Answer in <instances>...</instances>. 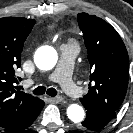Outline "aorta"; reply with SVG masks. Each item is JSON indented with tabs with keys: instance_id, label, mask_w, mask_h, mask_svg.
Instances as JSON below:
<instances>
[{
	"instance_id": "aorta-1",
	"label": "aorta",
	"mask_w": 133,
	"mask_h": 133,
	"mask_svg": "<svg viewBox=\"0 0 133 133\" xmlns=\"http://www.w3.org/2000/svg\"><path fill=\"white\" fill-rule=\"evenodd\" d=\"M34 62L40 70H51L57 63V52L53 47L47 46L41 52L35 55ZM68 118L79 123L85 117L84 109L78 104H71L67 108Z\"/></svg>"
}]
</instances>
